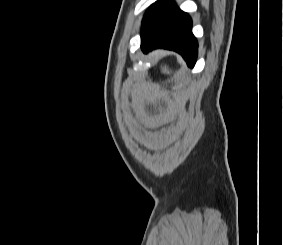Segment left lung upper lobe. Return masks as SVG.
<instances>
[{
    "instance_id": "5c2ea615",
    "label": "left lung upper lobe",
    "mask_w": 283,
    "mask_h": 245,
    "mask_svg": "<svg viewBox=\"0 0 283 245\" xmlns=\"http://www.w3.org/2000/svg\"><path fill=\"white\" fill-rule=\"evenodd\" d=\"M174 4L173 0H158L146 11L141 35L148 32Z\"/></svg>"
}]
</instances>
